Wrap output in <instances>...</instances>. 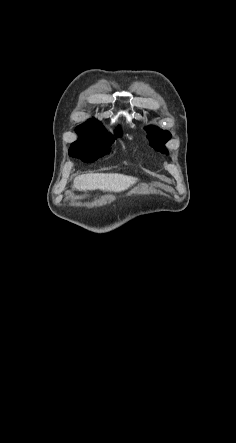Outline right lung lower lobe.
Listing matches in <instances>:
<instances>
[{"label":"right lung lower lobe","instance_id":"right-lung-lower-lobe-1","mask_svg":"<svg viewBox=\"0 0 236 443\" xmlns=\"http://www.w3.org/2000/svg\"><path fill=\"white\" fill-rule=\"evenodd\" d=\"M107 152L90 148V147H83V148H74L70 149L69 155L72 157L80 158L84 162H93L97 160L99 157H102Z\"/></svg>","mask_w":236,"mask_h":443}]
</instances>
